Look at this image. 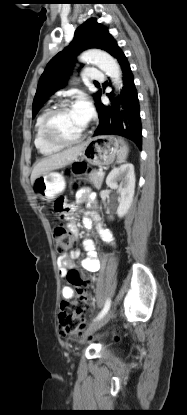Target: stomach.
Segmentation results:
<instances>
[{"label":"stomach","mask_w":187,"mask_h":415,"mask_svg":"<svg viewBox=\"0 0 187 415\" xmlns=\"http://www.w3.org/2000/svg\"><path fill=\"white\" fill-rule=\"evenodd\" d=\"M80 153L82 159L95 166H106L113 163L119 152V142L113 136H98L89 139ZM66 186L62 174L48 172L38 177L32 184L35 197L43 204L50 202L55 196L64 191Z\"/></svg>","instance_id":"stomach-1"}]
</instances>
